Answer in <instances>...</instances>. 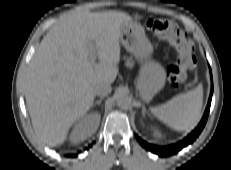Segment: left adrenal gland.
Wrapping results in <instances>:
<instances>
[{"label":"left adrenal gland","mask_w":231,"mask_h":170,"mask_svg":"<svg viewBox=\"0 0 231 170\" xmlns=\"http://www.w3.org/2000/svg\"><path fill=\"white\" fill-rule=\"evenodd\" d=\"M146 113H148V112L146 111V108H145V106L143 105V107H142V115L145 116Z\"/></svg>","instance_id":"left-adrenal-gland-1"}]
</instances>
